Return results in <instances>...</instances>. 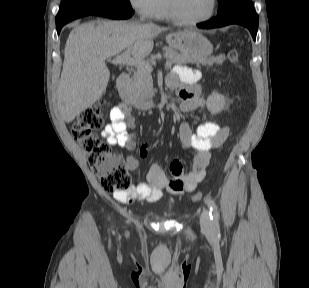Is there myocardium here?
Returning a JSON list of instances; mask_svg holds the SVG:
<instances>
[{
  "mask_svg": "<svg viewBox=\"0 0 309 288\" xmlns=\"http://www.w3.org/2000/svg\"><path fill=\"white\" fill-rule=\"evenodd\" d=\"M217 4H218L217 0H211V9L206 16L199 18V19H186L176 13L173 7L172 0H165V7H166L168 17L180 24L189 25V26L201 25L211 20L217 11Z\"/></svg>",
  "mask_w": 309,
  "mask_h": 288,
  "instance_id": "myocardium-1",
  "label": "myocardium"
}]
</instances>
